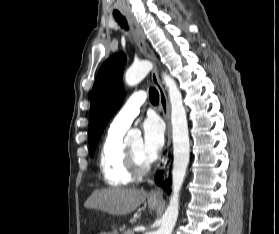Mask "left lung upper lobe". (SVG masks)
Listing matches in <instances>:
<instances>
[{
	"label": "left lung upper lobe",
	"mask_w": 279,
	"mask_h": 234,
	"mask_svg": "<svg viewBox=\"0 0 279 234\" xmlns=\"http://www.w3.org/2000/svg\"><path fill=\"white\" fill-rule=\"evenodd\" d=\"M123 54H115L100 68L91 93L89 149L92 157L109 119L121 105L125 92L122 84L125 64Z\"/></svg>",
	"instance_id": "1"
}]
</instances>
